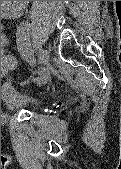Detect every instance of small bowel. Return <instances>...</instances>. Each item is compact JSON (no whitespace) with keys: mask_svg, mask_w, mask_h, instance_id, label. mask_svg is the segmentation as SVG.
Returning a JSON list of instances; mask_svg holds the SVG:
<instances>
[{"mask_svg":"<svg viewBox=\"0 0 121 169\" xmlns=\"http://www.w3.org/2000/svg\"><path fill=\"white\" fill-rule=\"evenodd\" d=\"M28 1H5L2 7L1 16L4 19L18 17Z\"/></svg>","mask_w":121,"mask_h":169,"instance_id":"c3829d8e","label":"small bowel"}]
</instances>
